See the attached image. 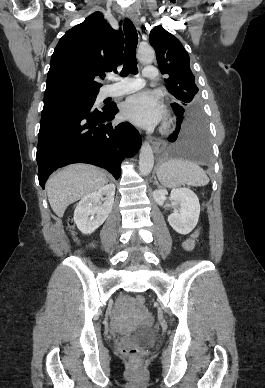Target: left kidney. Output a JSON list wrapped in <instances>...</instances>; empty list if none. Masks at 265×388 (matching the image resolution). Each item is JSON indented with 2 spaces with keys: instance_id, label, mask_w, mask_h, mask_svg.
Listing matches in <instances>:
<instances>
[{
  "instance_id": "left-kidney-1",
  "label": "left kidney",
  "mask_w": 265,
  "mask_h": 388,
  "mask_svg": "<svg viewBox=\"0 0 265 388\" xmlns=\"http://www.w3.org/2000/svg\"><path fill=\"white\" fill-rule=\"evenodd\" d=\"M167 194V190H154L153 198L158 206H163L167 200ZM170 200L173 208L179 206L168 218L171 228L184 236L190 234L194 230L200 214V204L196 194L189 188H174L170 194Z\"/></svg>"
}]
</instances>
